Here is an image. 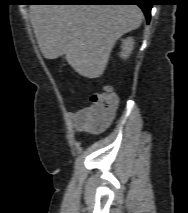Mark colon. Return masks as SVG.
I'll return each instance as SVG.
<instances>
[{"mask_svg":"<svg viewBox=\"0 0 188 213\" xmlns=\"http://www.w3.org/2000/svg\"><path fill=\"white\" fill-rule=\"evenodd\" d=\"M90 101L88 117L94 125L110 120L118 105L117 96L107 86L102 91L94 93Z\"/></svg>","mask_w":188,"mask_h":213,"instance_id":"obj_1","label":"colon"}]
</instances>
